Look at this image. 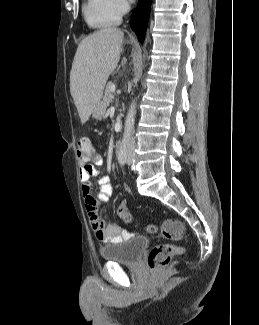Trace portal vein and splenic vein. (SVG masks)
Returning a JSON list of instances; mask_svg holds the SVG:
<instances>
[{
  "label": "portal vein and splenic vein",
  "mask_w": 259,
  "mask_h": 325,
  "mask_svg": "<svg viewBox=\"0 0 259 325\" xmlns=\"http://www.w3.org/2000/svg\"><path fill=\"white\" fill-rule=\"evenodd\" d=\"M110 89H111V92L114 93L115 89H116L115 85H111ZM112 98H113V96H112Z\"/></svg>",
  "instance_id": "18ae733b"
}]
</instances>
